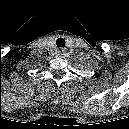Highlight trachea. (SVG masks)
I'll return each instance as SVG.
<instances>
[{"instance_id":"1","label":"trachea","mask_w":129,"mask_h":129,"mask_svg":"<svg viewBox=\"0 0 129 129\" xmlns=\"http://www.w3.org/2000/svg\"><path fill=\"white\" fill-rule=\"evenodd\" d=\"M57 47L64 48L65 47V39L64 38H58L56 40Z\"/></svg>"}]
</instances>
